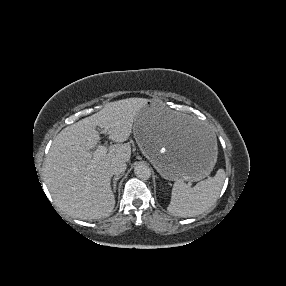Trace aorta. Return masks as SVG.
<instances>
[{"mask_svg": "<svg viewBox=\"0 0 286 286\" xmlns=\"http://www.w3.org/2000/svg\"><path fill=\"white\" fill-rule=\"evenodd\" d=\"M136 177L142 180H147L151 176L150 167L144 162H138L134 167Z\"/></svg>", "mask_w": 286, "mask_h": 286, "instance_id": "aorta-1", "label": "aorta"}]
</instances>
